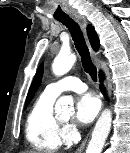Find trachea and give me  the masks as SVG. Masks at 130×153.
Returning a JSON list of instances; mask_svg holds the SVG:
<instances>
[{"mask_svg":"<svg viewBox=\"0 0 130 153\" xmlns=\"http://www.w3.org/2000/svg\"><path fill=\"white\" fill-rule=\"evenodd\" d=\"M58 21L63 23L69 29L75 47L81 56V61L85 72L91 76L93 81H97V69L91 60L89 49L79 25L69 16L59 18Z\"/></svg>","mask_w":130,"mask_h":153,"instance_id":"trachea-1","label":"trachea"}]
</instances>
